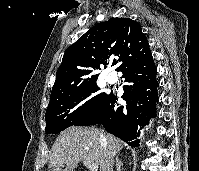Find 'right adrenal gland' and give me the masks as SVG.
Instances as JSON below:
<instances>
[{"label": "right adrenal gland", "mask_w": 199, "mask_h": 171, "mask_svg": "<svg viewBox=\"0 0 199 171\" xmlns=\"http://www.w3.org/2000/svg\"><path fill=\"white\" fill-rule=\"evenodd\" d=\"M123 166V162L119 159V157H116V171H121V167Z\"/></svg>", "instance_id": "1"}]
</instances>
